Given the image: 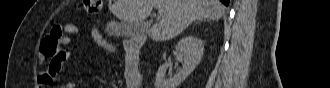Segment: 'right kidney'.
Wrapping results in <instances>:
<instances>
[{
	"label": "right kidney",
	"instance_id": "ca27d5eb",
	"mask_svg": "<svg viewBox=\"0 0 330 88\" xmlns=\"http://www.w3.org/2000/svg\"><path fill=\"white\" fill-rule=\"evenodd\" d=\"M175 48L184 58L183 68L174 76L169 74V78H165L168 64L161 65L156 74L155 88H176L194 71L202 60L204 44L197 37H184L177 43Z\"/></svg>",
	"mask_w": 330,
	"mask_h": 88
}]
</instances>
